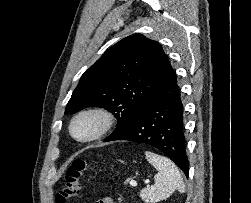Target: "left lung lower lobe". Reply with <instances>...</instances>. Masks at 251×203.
<instances>
[{
    "mask_svg": "<svg viewBox=\"0 0 251 203\" xmlns=\"http://www.w3.org/2000/svg\"><path fill=\"white\" fill-rule=\"evenodd\" d=\"M184 130L181 92L177 75L170 67L153 96L128 127L107 141L128 140L149 144L167 155L188 177Z\"/></svg>",
    "mask_w": 251,
    "mask_h": 203,
    "instance_id": "1",
    "label": "left lung lower lobe"
}]
</instances>
